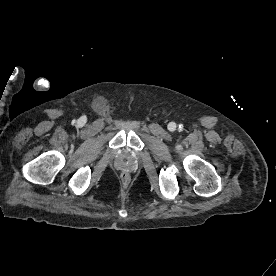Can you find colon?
Listing matches in <instances>:
<instances>
[{
  "label": "colon",
  "instance_id": "5ec220e1",
  "mask_svg": "<svg viewBox=\"0 0 276 276\" xmlns=\"http://www.w3.org/2000/svg\"><path fill=\"white\" fill-rule=\"evenodd\" d=\"M121 179L123 183H127L129 181V176L126 173H123Z\"/></svg>",
  "mask_w": 276,
  "mask_h": 276
}]
</instances>
